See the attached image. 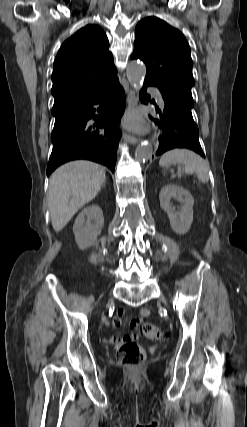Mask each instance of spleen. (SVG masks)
<instances>
[{"label":"spleen","mask_w":247,"mask_h":427,"mask_svg":"<svg viewBox=\"0 0 247 427\" xmlns=\"http://www.w3.org/2000/svg\"><path fill=\"white\" fill-rule=\"evenodd\" d=\"M171 163H180L186 174L196 173L202 183L209 180V165L198 154L187 149H173L162 155L159 165L164 167Z\"/></svg>","instance_id":"obj_1"}]
</instances>
